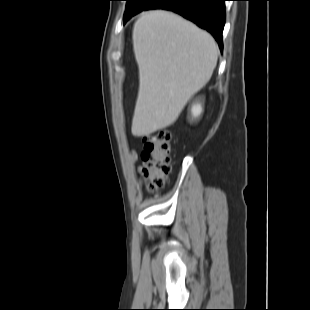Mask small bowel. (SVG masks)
<instances>
[{
    "mask_svg": "<svg viewBox=\"0 0 310 310\" xmlns=\"http://www.w3.org/2000/svg\"><path fill=\"white\" fill-rule=\"evenodd\" d=\"M130 158L132 161H136L138 159V153L135 150H132L130 153Z\"/></svg>",
    "mask_w": 310,
    "mask_h": 310,
    "instance_id": "small-bowel-1",
    "label": "small bowel"
}]
</instances>
